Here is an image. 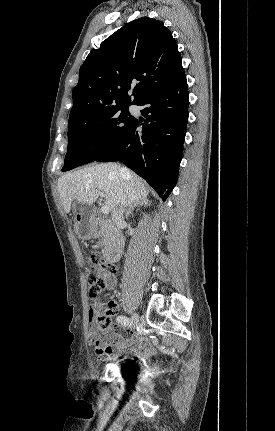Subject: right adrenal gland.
I'll return each instance as SVG.
<instances>
[{
  "instance_id": "2a0ac1e0",
  "label": "right adrenal gland",
  "mask_w": 275,
  "mask_h": 431,
  "mask_svg": "<svg viewBox=\"0 0 275 431\" xmlns=\"http://www.w3.org/2000/svg\"><path fill=\"white\" fill-rule=\"evenodd\" d=\"M148 201L147 200H140V201H138V202H136V203H134V204H131L129 207H128V209H127V211H126V218H128V216L130 215V214H132V211L134 210V208L135 207H137V206H143V205H148Z\"/></svg>"
}]
</instances>
